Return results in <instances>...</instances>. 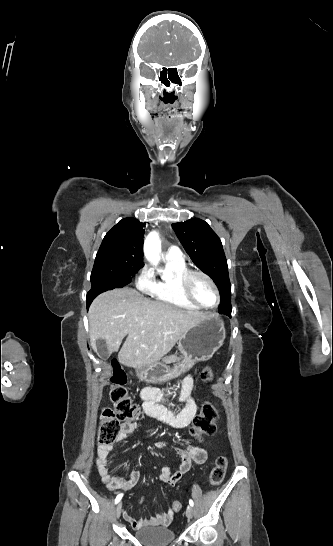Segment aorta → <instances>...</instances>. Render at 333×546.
<instances>
[{"label":"aorta","mask_w":333,"mask_h":546,"mask_svg":"<svg viewBox=\"0 0 333 546\" xmlns=\"http://www.w3.org/2000/svg\"><path fill=\"white\" fill-rule=\"evenodd\" d=\"M161 241L156 231L149 233L144 242V255L153 264L160 261Z\"/></svg>","instance_id":"obj_1"}]
</instances>
